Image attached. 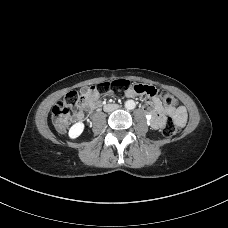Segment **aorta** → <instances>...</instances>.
Segmentation results:
<instances>
[{"label":"aorta","instance_id":"obj_1","mask_svg":"<svg viewBox=\"0 0 228 228\" xmlns=\"http://www.w3.org/2000/svg\"><path fill=\"white\" fill-rule=\"evenodd\" d=\"M125 107L128 109V110H133L135 107H136V103L134 100H127L125 102Z\"/></svg>","mask_w":228,"mask_h":228}]
</instances>
